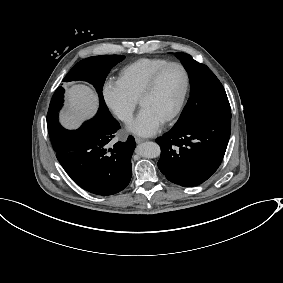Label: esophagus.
I'll return each instance as SVG.
<instances>
[{"mask_svg":"<svg viewBox=\"0 0 283 283\" xmlns=\"http://www.w3.org/2000/svg\"><path fill=\"white\" fill-rule=\"evenodd\" d=\"M135 141H136V143L140 144V143H142V142L147 141V139L140 138V137H135Z\"/></svg>","mask_w":283,"mask_h":283,"instance_id":"esophagus-1","label":"esophagus"}]
</instances>
